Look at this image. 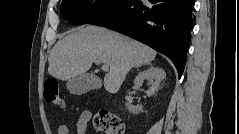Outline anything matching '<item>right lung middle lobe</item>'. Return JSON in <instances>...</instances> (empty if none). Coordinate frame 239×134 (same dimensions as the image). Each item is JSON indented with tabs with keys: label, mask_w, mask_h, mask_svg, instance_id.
Masks as SVG:
<instances>
[{
	"label": "right lung middle lobe",
	"mask_w": 239,
	"mask_h": 134,
	"mask_svg": "<svg viewBox=\"0 0 239 134\" xmlns=\"http://www.w3.org/2000/svg\"><path fill=\"white\" fill-rule=\"evenodd\" d=\"M120 0H62L60 13L70 23L85 24Z\"/></svg>",
	"instance_id": "obj_1"
}]
</instances>
